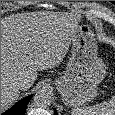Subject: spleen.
Segmentation results:
<instances>
[{"label":"spleen","mask_w":115,"mask_h":115,"mask_svg":"<svg viewBox=\"0 0 115 115\" xmlns=\"http://www.w3.org/2000/svg\"><path fill=\"white\" fill-rule=\"evenodd\" d=\"M71 115H115V96L109 102H103L84 109H74Z\"/></svg>","instance_id":"obj_1"}]
</instances>
